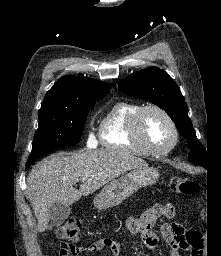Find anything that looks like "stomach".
<instances>
[{
  "instance_id": "obj_1",
  "label": "stomach",
  "mask_w": 221,
  "mask_h": 256,
  "mask_svg": "<svg viewBox=\"0 0 221 256\" xmlns=\"http://www.w3.org/2000/svg\"><path fill=\"white\" fill-rule=\"evenodd\" d=\"M158 178V170L148 165L134 169L125 176L105 185L94 198V205L100 210L116 206L139 188L156 183Z\"/></svg>"
}]
</instances>
